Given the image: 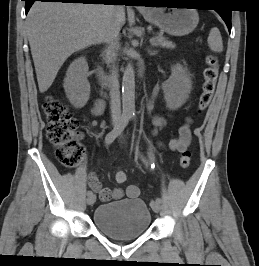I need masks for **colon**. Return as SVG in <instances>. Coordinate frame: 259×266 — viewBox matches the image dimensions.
Wrapping results in <instances>:
<instances>
[{"label": "colon", "instance_id": "obj_1", "mask_svg": "<svg viewBox=\"0 0 259 266\" xmlns=\"http://www.w3.org/2000/svg\"><path fill=\"white\" fill-rule=\"evenodd\" d=\"M206 68L203 73L204 81L198 101V112L201 113L212 101L218 78V63L214 55L206 57ZM43 111L47 123V138L55 148L58 161L67 168L75 167L83 158V147L79 141L81 133L78 131V121L71 114L68 107L60 100L48 96L43 104ZM191 163V154L185 151L181 154L179 164L187 168ZM125 172L119 171L115 175L117 183L126 181Z\"/></svg>", "mask_w": 259, "mask_h": 266}]
</instances>
